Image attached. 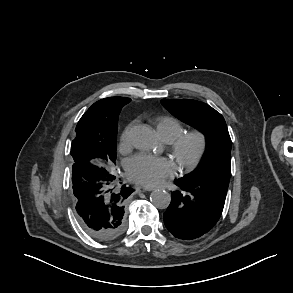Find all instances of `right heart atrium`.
Instances as JSON below:
<instances>
[{"label":"right heart atrium","instance_id":"obj_1","mask_svg":"<svg viewBox=\"0 0 293 293\" xmlns=\"http://www.w3.org/2000/svg\"><path fill=\"white\" fill-rule=\"evenodd\" d=\"M135 124H136V121H132L123 130V132H122V134L120 136V140H119V149H120V151L125 152V151H127L129 149V146H130V132H131V130L134 127Z\"/></svg>","mask_w":293,"mask_h":293}]
</instances>
